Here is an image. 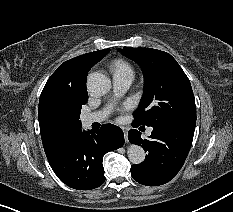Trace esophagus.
Instances as JSON below:
<instances>
[{"mask_svg":"<svg viewBox=\"0 0 233 212\" xmlns=\"http://www.w3.org/2000/svg\"><path fill=\"white\" fill-rule=\"evenodd\" d=\"M123 132H124L125 141L128 142V132L126 130H123Z\"/></svg>","mask_w":233,"mask_h":212,"instance_id":"esophagus-1","label":"esophagus"}]
</instances>
